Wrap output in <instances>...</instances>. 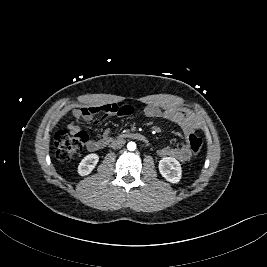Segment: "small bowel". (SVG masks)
Instances as JSON below:
<instances>
[{
	"label": "small bowel",
	"mask_w": 267,
	"mask_h": 267,
	"mask_svg": "<svg viewBox=\"0 0 267 267\" xmlns=\"http://www.w3.org/2000/svg\"><path fill=\"white\" fill-rule=\"evenodd\" d=\"M134 109L130 105L118 106L114 104H106L101 106L82 107L72 112L74 120L69 124V128L76 132L80 129L81 121H91L97 114L129 116ZM143 113L149 118H162L175 123L183 133V139L175 146H165L159 149L158 153L162 157H173L180 161L190 159L191 153L188 145V137L198 131V123L196 119L185 112L176 109H161L160 107L149 104L144 107ZM111 140V134L105 129L98 139H90L86 143L89 151H97L104 148Z\"/></svg>",
	"instance_id": "obj_1"
}]
</instances>
